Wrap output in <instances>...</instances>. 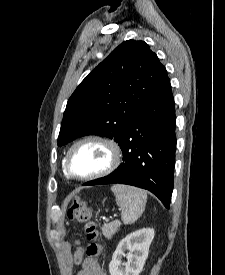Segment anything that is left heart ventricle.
Masks as SVG:
<instances>
[{
  "mask_svg": "<svg viewBox=\"0 0 225 275\" xmlns=\"http://www.w3.org/2000/svg\"><path fill=\"white\" fill-rule=\"evenodd\" d=\"M109 161L108 150L97 143L78 146L70 158V168L76 175H87L106 167Z\"/></svg>",
  "mask_w": 225,
  "mask_h": 275,
  "instance_id": "b2bd125f",
  "label": "left heart ventricle"
}]
</instances>
